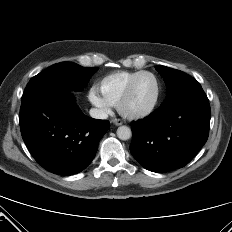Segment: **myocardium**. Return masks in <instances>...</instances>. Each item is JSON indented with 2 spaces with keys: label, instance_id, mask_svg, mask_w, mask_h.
Returning a JSON list of instances; mask_svg holds the SVG:
<instances>
[{
  "label": "myocardium",
  "instance_id": "1",
  "mask_svg": "<svg viewBox=\"0 0 232 232\" xmlns=\"http://www.w3.org/2000/svg\"><path fill=\"white\" fill-rule=\"evenodd\" d=\"M144 75H149L151 76L156 83V95L155 98L153 100V102L151 103V105L149 107H147L144 110L138 111V112H128L125 110V105L126 103L129 101V99L131 98V95L133 93L134 87L138 81V79ZM161 97V83L158 79V77L150 72V71H140L129 83V85L127 86L126 90L124 91L123 95L121 96L118 104H117V108L119 113L128 119H141L144 118L148 115H150L155 108L157 107L159 100Z\"/></svg>",
  "mask_w": 232,
  "mask_h": 232
}]
</instances>
